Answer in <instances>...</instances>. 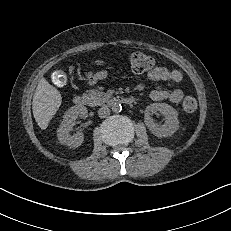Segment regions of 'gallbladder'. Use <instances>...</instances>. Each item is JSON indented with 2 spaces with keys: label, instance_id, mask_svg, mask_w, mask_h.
Wrapping results in <instances>:
<instances>
[{
  "label": "gallbladder",
  "instance_id": "obj_1",
  "mask_svg": "<svg viewBox=\"0 0 231 231\" xmlns=\"http://www.w3.org/2000/svg\"><path fill=\"white\" fill-rule=\"evenodd\" d=\"M52 83L56 87H63L67 83V75L63 71H56L52 75Z\"/></svg>",
  "mask_w": 231,
  "mask_h": 231
}]
</instances>
